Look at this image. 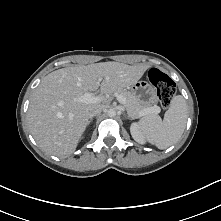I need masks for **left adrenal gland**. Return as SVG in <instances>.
<instances>
[{
	"label": "left adrenal gland",
	"instance_id": "left-adrenal-gland-1",
	"mask_svg": "<svg viewBox=\"0 0 221 221\" xmlns=\"http://www.w3.org/2000/svg\"><path fill=\"white\" fill-rule=\"evenodd\" d=\"M128 119H132V117L128 116Z\"/></svg>",
	"mask_w": 221,
	"mask_h": 221
}]
</instances>
